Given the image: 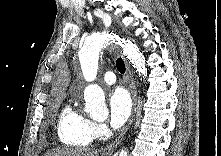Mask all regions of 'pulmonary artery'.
I'll list each match as a JSON object with an SVG mask.
<instances>
[{
	"instance_id": "obj_1",
	"label": "pulmonary artery",
	"mask_w": 221,
	"mask_h": 156,
	"mask_svg": "<svg viewBox=\"0 0 221 156\" xmlns=\"http://www.w3.org/2000/svg\"><path fill=\"white\" fill-rule=\"evenodd\" d=\"M103 80L105 83L112 85L116 82V76L113 72L111 71H107L104 75H103Z\"/></svg>"
}]
</instances>
